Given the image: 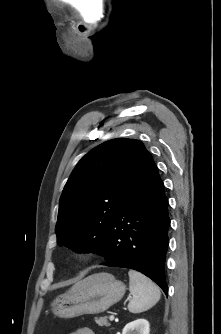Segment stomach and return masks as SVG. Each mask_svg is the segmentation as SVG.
<instances>
[{
    "label": "stomach",
    "mask_w": 221,
    "mask_h": 334,
    "mask_svg": "<svg viewBox=\"0 0 221 334\" xmlns=\"http://www.w3.org/2000/svg\"><path fill=\"white\" fill-rule=\"evenodd\" d=\"M126 287L108 273H95L84 279L75 291L58 296L51 303L52 312L61 318L99 314L121 300Z\"/></svg>",
    "instance_id": "stomach-1"
}]
</instances>
